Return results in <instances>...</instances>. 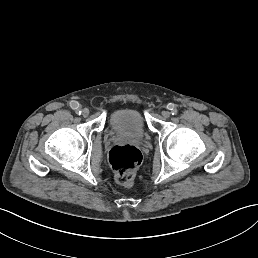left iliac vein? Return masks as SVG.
<instances>
[{"label":"left iliac vein","mask_w":258,"mask_h":258,"mask_svg":"<svg viewBox=\"0 0 258 258\" xmlns=\"http://www.w3.org/2000/svg\"><path fill=\"white\" fill-rule=\"evenodd\" d=\"M163 116H164L165 118H168V117L170 116V113H169L168 111H165V112L163 113Z\"/></svg>","instance_id":"left-iliac-vein-1"}]
</instances>
